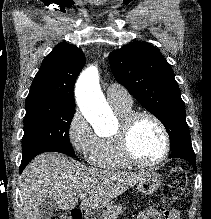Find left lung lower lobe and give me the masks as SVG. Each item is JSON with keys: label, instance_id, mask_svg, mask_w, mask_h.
<instances>
[{"label": "left lung lower lobe", "instance_id": "1", "mask_svg": "<svg viewBox=\"0 0 211 219\" xmlns=\"http://www.w3.org/2000/svg\"><path fill=\"white\" fill-rule=\"evenodd\" d=\"M169 158H180L188 161L196 170L195 153L193 151L191 141H183L171 151Z\"/></svg>", "mask_w": 211, "mask_h": 219}]
</instances>
